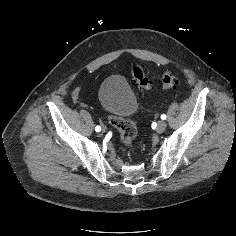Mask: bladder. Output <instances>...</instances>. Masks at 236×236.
<instances>
[{
  "label": "bladder",
  "instance_id": "31cf9c89",
  "mask_svg": "<svg viewBox=\"0 0 236 236\" xmlns=\"http://www.w3.org/2000/svg\"><path fill=\"white\" fill-rule=\"evenodd\" d=\"M99 102L110 115L132 118L138 111V101L126 80L113 75L106 78L98 90Z\"/></svg>",
  "mask_w": 236,
  "mask_h": 236
}]
</instances>
